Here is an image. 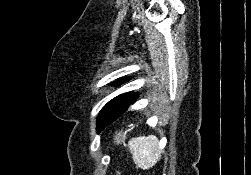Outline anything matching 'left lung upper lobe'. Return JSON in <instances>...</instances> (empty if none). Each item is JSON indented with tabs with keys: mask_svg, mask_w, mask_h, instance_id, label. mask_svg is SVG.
Returning <instances> with one entry per match:
<instances>
[{
	"mask_svg": "<svg viewBox=\"0 0 251 175\" xmlns=\"http://www.w3.org/2000/svg\"><path fill=\"white\" fill-rule=\"evenodd\" d=\"M121 81L122 82L128 81V78L121 79ZM132 96H133V92L121 94V95L115 97L114 99H112L111 101H109L105 106L113 104V103L121 104V105L126 104L127 102H129V100L131 99ZM106 126H108V124H105V121L98 117V119H97V132L99 133Z\"/></svg>",
	"mask_w": 251,
	"mask_h": 175,
	"instance_id": "5c2ea615",
	"label": "left lung upper lobe"
}]
</instances>
